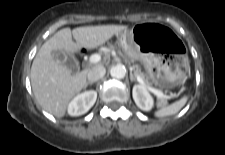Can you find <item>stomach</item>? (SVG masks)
I'll list each match as a JSON object with an SVG mask.
<instances>
[{"label":"stomach","instance_id":"1","mask_svg":"<svg viewBox=\"0 0 225 155\" xmlns=\"http://www.w3.org/2000/svg\"><path fill=\"white\" fill-rule=\"evenodd\" d=\"M117 37L125 53L144 64L155 84L176 85L184 79L187 72L184 45L169 27L143 22Z\"/></svg>","mask_w":225,"mask_h":155}]
</instances>
